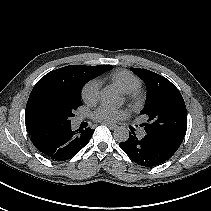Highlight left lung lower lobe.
<instances>
[{
	"label": "left lung lower lobe",
	"instance_id": "left-lung-lower-lobe-1",
	"mask_svg": "<svg viewBox=\"0 0 211 211\" xmlns=\"http://www.w3.org/2000/svg\"><path fill=\"white\" fill-rule=\"evenodd\" d=\"M119 146L135 163L145 167L157 166L175 153L148 135L139 139L130 134Z\"/></svg>",
	"mask_w": 211,
	"mask_h": 211
}]
</instances>
